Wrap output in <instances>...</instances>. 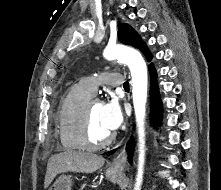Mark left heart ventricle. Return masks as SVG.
I'll use <instances>...</instances> for the list:
<instances>
[{
	"label": "left heart ventricle",
	"instance_id": "left-heart-ventricle-1",
	"mask_svg": "<svg viewBox=\"0 0 221 190\" xmlns=\"http://www.w3.org/2000/svg\"><path fill=\"white\" fill-rule=\"evenodd\" d=\"M91 134L96 141L106 138L111 132L102 122V104L95 103L91 108Z\"/></svg>",
	"mask_w": 221,
	"mask_h": 190
}]
</instances>
